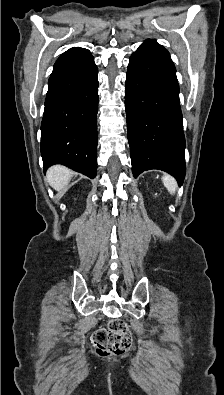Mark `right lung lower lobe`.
Listing matches in <instances>:
<instances>
[{
  "instance_id": "98d812e1",
  "label": "right lung lower lobe",
  "mask_w": 224,
  "mask_h": 395,
  "mask_svg": "<svg viewBox=\"0 0 224 395\" xmlns=\"http://www.w3.org/2000/svg\"><path fill=\"white\" fill-rule=\"evenodd\" d=\"M98 70L84 48H71L54 64L41 124L44 170L63 164L94 178L97 172Z\"/></svg>"
}]
</instances>
